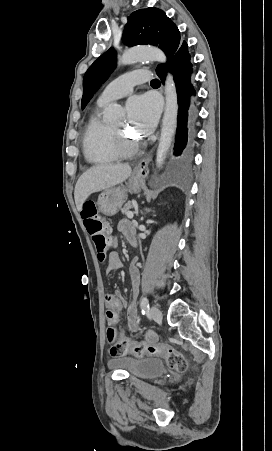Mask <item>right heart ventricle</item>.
Instances as JSON below:
<instances>
[{
    "instance_id": "1",
    "label": "right heart ventricle",
    "mask_w": 272,
    "mask_h": 451,
    "mask_svg": "<svg viewBox=\"0 0 272 451\" xmlns=\"http://www.w3.org/2000/svg\"><path fill=\"white\" fill-rule=\"evenodd\" d=\"M113 100L99 104L100 107L111 103ZM111 126L105 123L97 110L91 117L84 135V152L86 158L93 163L111 161L116 150L110 140Z\"/></svg>"
}]
</instances>
